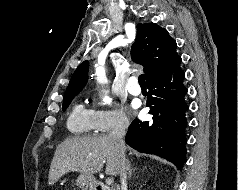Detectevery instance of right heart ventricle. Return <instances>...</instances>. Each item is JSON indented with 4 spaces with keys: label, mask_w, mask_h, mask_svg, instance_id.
<instances>
[{
    "label": "right heart ventricle",
    "mask_w": 238,
    "mask_h": 190,
    "mask_svg": "<svg viewBox=\"0 0 238 190\" xmlns=\"http://www.w3.org/2000/svg\"><path fill=\"white\" fill-rule=\"evenodd\" d=\"M67 128L74 134L88 133L93 129L91 110L76 104L67 119Z\"/></svg>",
    "instance_id": "right-heart-ventricle-1"
}]
</instances>
